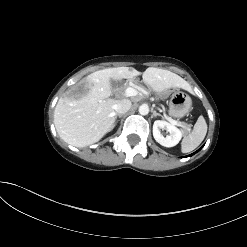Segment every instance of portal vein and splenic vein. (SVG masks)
<instances>
[{
    "label": "portal vein and splenic vein",
    "instance_id": "obj_1",
    "mask_svg": "<svg viewBox=\"0 0 247 247\" xmlns=\"http://www.w3.org/2000/svg\"><path fill=\"white\" fill-rule=\"evenodd\" d=\"M138 94V91L133 88V87H128L125 90V96L126 97H131V96H136ZM166 118V120H168L170 123L177 125V126H181L179 122H177L176 120H173L172 118L168 117V116H164Z\"/></svg>",
    "mask_w": 247,
    "mask_h": 247
}]
</instances>
